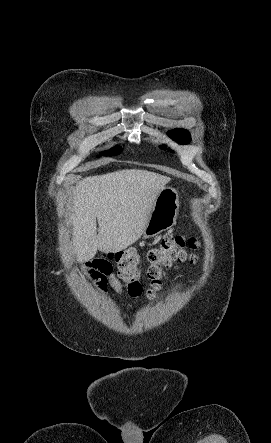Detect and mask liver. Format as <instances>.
I'll list each match as a JSON object with an SVG mask.
<instances>
[{"mask_svg":"<svg viewBox=\"0 0 271 443\" xmlns=\"http://www.w3.org/2000/svg\"><path fill=\"white\" fill-rule=\"evenodd\" d=\"M168 182L170 178L146 170H120L78 182L69 220L70 247L78 263L92 259L97 249L115 253L135 243Z\"/></svg>","mask_w":271,"mask_h":443,"instance_id":"6515ba94","label":"liver"}]
</instances>
